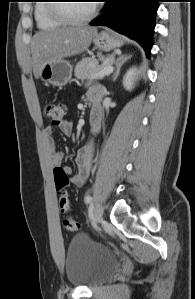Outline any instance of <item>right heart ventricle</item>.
Here are the masks:
<instances>
[{"label": "right heart ventricle", "mask_w": 195, "mask_h": 299, "mask_svg": "<svg viewBox=\"0 0 195 299\" xmlns=\"http://www.w3.org/2000/svg\"><path fill=\"white\" fill-rule=\"evenodd\" d=\"M50 0H39L34 7V19L40 29H54L64 23L54 18L50 12Z\"/></svg>", "instance_id": "e07e8e85"}]
</instances>
